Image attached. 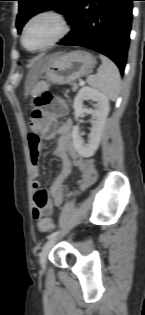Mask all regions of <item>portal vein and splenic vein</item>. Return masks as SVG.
Segmentation results:
<instances>
[{"instance_id": "1", "label": "portal vein and splenic vein", "mask_w": 145, "mask_h": 315, "mask_svg": "<svg viewBox=\"0 0 145 315\" xmlns=\"http://www.w3.org/2000/svg\"><path fill=\"white\" fill-rule=\"evenodd\" d=\"M84 84H85L84 81H80V82H79V85H80V86H83Z\"/></svg>"}]
</instances>
